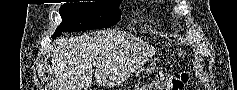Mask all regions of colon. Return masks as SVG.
Wrapping results in <instances>:
<instances>
[{"label": "colon", "mask_w": 237, "mask_h": 90, "mask_svg": "<svg viewBox=\"0 0 237 90\" xmlns=\"http://www.w3.org/2000/svg\"><path fill=\"white\" fill-rule=\"evenodd\" d=\"M183 56V51L179 52ZM189 74L185 68L167 76H161L156 80L136 87L135 90H181L188 82Z\"/></svg>", "instance_id": "colon-1"}]
</instances>
